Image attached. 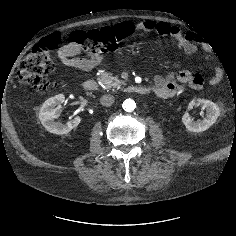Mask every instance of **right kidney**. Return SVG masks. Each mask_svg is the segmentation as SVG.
<instances>
[{"label":"right kidney","mask_w":236,"mask_h":236,"mask_svg":"<svg viewBox=\"0 0 236 236\" xmlns=\"http://www.w3.org/2000/svg\"><path fill=\"white\" fill-rule=\"evenodd\" d=\"M64 101V95L58 94L46 100L40 109L39 119L45 129L50 133L67 134L81 122V118L79 116H76L64 125L54 121V119L60 116L62 108L61 104Z\"/></svg>","instance_id":"right-kidney-1"}]
</instances>
